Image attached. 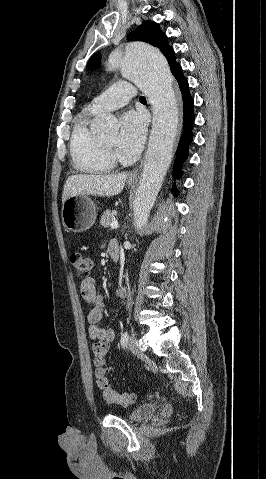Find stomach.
Returning a JSON list of instances; mask_svg holds the SVG:
<instances>
[{"label": "stomach", "instance_id": "1", "mask_svg": "<svg viewBox=\"0 0 266 479\" xmlns=\"http://www.w3.org/2000/svg\"><path fill=\"white\" fill-rule=\"evenodd\" d=\"M130 185L134 180H128ZM96 220V208L93 201L86 195L71 196L63 203V226L72 232L80 233L90 229Z\"/></svg>", "mask_w": 266, "mask_h": 479}]
</instances>
